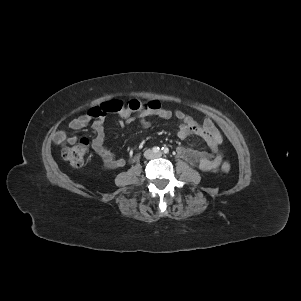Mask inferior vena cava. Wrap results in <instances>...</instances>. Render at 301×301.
Listing matches in <instances>:
<instances>
[{
    "label": "inferior vena cava",
    "instance_id": "inferior-vena-cava-1",
    "mask_svg": "<svg viewBox=\"0 0 301 301\" xmlns=\"http://www.w3.org/2000/svg\"><path fill=\"white\" fill-rule=\"evenodd\" d=\"M144 156L147 159H152V158L156 157V154L153 153V151H151V150H147V151H145Z\"/></svg>",
    "mask_w": 301,
    "mask_h": 301
}]
</instances>
